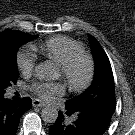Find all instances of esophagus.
Returning a JSON list of instances; mask_svg holds the SVG:
<instances>
[{
  "label": "esophagus",
  "instance_id": "34e87169",
  "mask_svg": "<svg viewBox=\"0 0 135 135\" xmlns=\"http://www.w3.org/2000/svg\"><path fill=\"white\" fill-rule=\"evenodd\" d=\"M32 104H33L34 107H44V106H46V104L39 99H33Z\"/></svg>",
  "mask_w": 135,
  "mask_h": 135
}]
</instances>
